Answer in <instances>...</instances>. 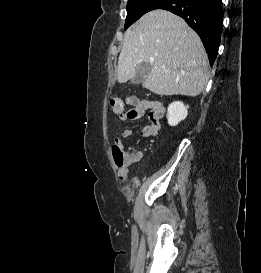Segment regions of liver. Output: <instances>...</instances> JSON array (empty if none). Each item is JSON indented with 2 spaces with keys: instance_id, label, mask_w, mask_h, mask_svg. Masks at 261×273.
<instances>
[{
  "instance_id": "obj_1",
  "label": "liver",
  "mask_w": 261,
  "mask_h": 273,
  "mask_svg": "<svg viewBox=\"0 0 261 273\" xmlns=\"http://www.w3.org/2000/svg\"><path fill=\"white\" fill-rule=\"evenodd\" d=\"M142 62L152 65L143 87L158 95L195 97L209 80L208 57L199 36L166 10L146 13L126 31L118 81L132 79Z\"/></svg>"
}]
</instances>
